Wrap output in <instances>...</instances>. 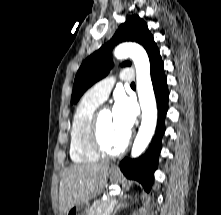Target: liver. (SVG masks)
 Listing matches in <instances>:
<instances>
[{
	"label": "liver",
	"instance_id": "6515ba94",
	"mask_svg": "<svg viewBox=\"0 0 221 215\" xmlns=\"http://www.w3.org/2000/svg\"><path fill=\"white\" fill-rule=\"evenodd\" d=\"M108 169V164H81L66 168L59 188L61 214L77 204H88L99 195L107 182Z\"/></svg>",
	"mask_w": 221,
	"mask_h": 215
}]
</instances>
